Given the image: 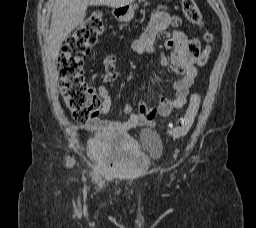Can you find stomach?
I'll use <instances>...</instances> for the list:
<instances>
[{
    "instance_id": "0dacf381",
    "label": "stomach",
    "mask_w": 256,
    "mask_h": 228,
    "mask_svg": "<svg viewBox=\"0 0 256 228\" xmlns=\"http://www.w3.org/2000/svg\"><path fill=\"white\" fill-rule=\"evenodd\" d=\"M117 10L119 11L114 13L117 20L122 22H128L133 18L134 11L131 7H123Z\"/></svg>"
}]
</instances>
